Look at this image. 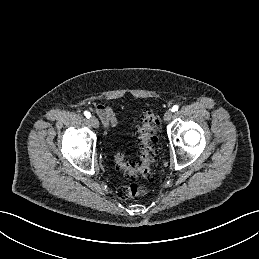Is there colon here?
Segmentation results:
<instances>
[{
	"label": "colon",
	"mask_w": 259,
	"mask_h": 259,
	"mask_svg": "<svg viewBox=\"0 0 259 259\" xmlns=\"http://www.w3.org/2000/svg\"><path fill=\"white\" fill-rule=\"evenodd\" d=\"M159 129V119L153 109L144 110L140 124L137 126L138 150L140 162L138 164L125 159L120 152L115 154V160L123 173L130 179L149 178L154 163L157 160V152L155 151V143L157 141V132ZM148 193V189L138 183L133 182L130 185L123 186L118 189L117 196L121 200L130 198L143 197Z\"/></svg>",
	"instance_id": "1"
}]
</instances>
